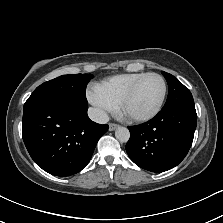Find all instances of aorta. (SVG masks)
<instances>
[{
	"mask_svg": "<svg viewBox=\"0 0 223 223\" xmlns=\"http://www.w3.org/2000/svg\"><path fill=\"white\" fill-rule=\"evenodd\" d=\"M115 137L120 142H127L130 137V132L127 128L119 126L115 131Z\"/></svg>",
	"mask_w": 223,
	"mask_h": 223,
	"instance_id": "aorta-1",
	"label": "aorta"
}]
</instances>
